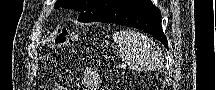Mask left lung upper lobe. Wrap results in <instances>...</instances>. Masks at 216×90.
<instances>
[{"instance_id":"obj_1","label":"left lung upper lobe","mask_w":216,"mask_h":90,"mask_svg":"<svg viewBox=\"0 0 216 90\" xmlns=\"http://www.w3.org/2000/svg\"><path fill=\"white\" fill-rule=\"evenodd\" d=\"M128 0H57L59 7L75 9L80 12L79 22H93L108 11L121 7Z\"/></svg>"}]
</instances>
